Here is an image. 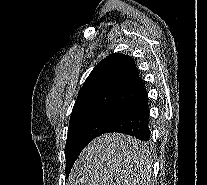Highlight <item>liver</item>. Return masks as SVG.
<instances>
[{
    "label": "liver",
    "instance_id": "6515ba94",
    "mask_svg": "<svg viewBox=\"0 0 207 185\" xmlns=\"http://www.w3.org/2000/svg\"><path fill=\"white\" fill-rule=\"evenodd\" d=\"M151 163L143 141L122 133H105L77 157L67 185H149Z\"/></svg>",
    "mask_w": 207,
    "mask_h": 185
}]
</instances>
